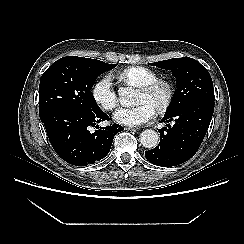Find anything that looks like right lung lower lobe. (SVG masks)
<instances>
[{
  "label": "right lung lower lobe",
  "mask_w": 244,
  "mask_h": 244,
  "mask_svg": "<svg viewBox=\"0 0 244 244\" xmlns=\"http://www.w3.org/2000/svg\"><path fill=\"white\" fill-rule=\"evenodd\" d=\"M109 120L101 109L95 111L59 110L41 119L55 152L75 166H87L103 159L109 152L114 136L123 130L119 124L99 127ZM90 127H96L91 133Z\"/></svg>",
  "instance_id": "98d812e1"
}]
</instances>
